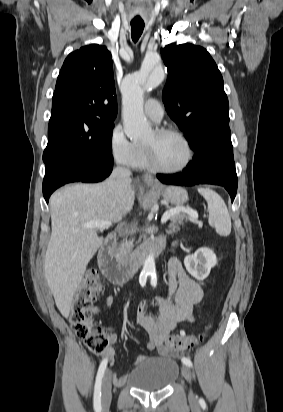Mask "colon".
<instances>
[{"instance_id": "5ec220e1", "label": "colon", "mask_w": 283, "mask_h": 412, "mask_svg": "<svg viewBox=\"0 0 283 412\" xmlns=\"http://www.w3.org/2000/svg\"><path fill=\"white\" fill-rule=\"evenodd\" d=\"M100 284V270L94 267L87 272L66 309V316L74 335L95 354H102L110 342V334L96 326L92 320V306ZM203 338L204 333L191 336L173 335L167 339L166 344L170 351L183 352L192 348Z\"/></svg>"}]
</instances>
